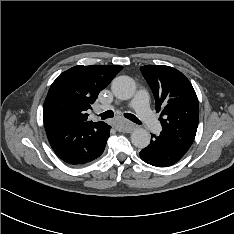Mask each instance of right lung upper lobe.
<instances>
[{"instance_id": "cb5924a9", "label": "right lung upper lobe", "mask_w": 234, "mask_h": 234, "mask_svg": "<svg viewBox=\"0 0 234 234\" xmlns=\"http://www.w3.org/2000/svg\"><path fill=\"white\" fill-rule=\"evenodd\" d=\"M122 70L117 65H78L61 73L52 83L43 106L45 129L87 121V109Z\"/></svg>"}]
</instances>
